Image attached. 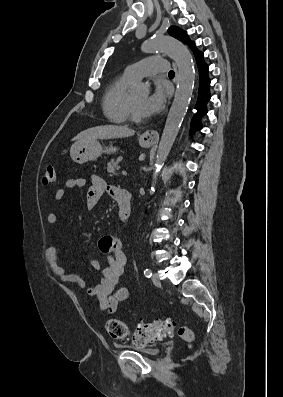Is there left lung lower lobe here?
Instances as JSON below:
<instances>
[{
	"instance_id": "1",
	"label": "left lung lower lobe",
	"mask_w": 283,
	"mask_h": 397,
	"mask_svg": "<svg viewBox=\"0 0 283 397\" xmlns=\"http://www.w3.org/2000/svg\"><path fill=\"white\" fill-rule=\"evenodd\" d=\"M197 60V65L199 68L200 84L198 100L196 103V109L198 113L193 117L191 122V132L197 129H201L200 118L202 115L207 113L206 103L210 100L211 96L209 93L210 80L208 78V66L203 61V53L196 50L194 45L190 47Z\"/></svg>"
}]
</instances>
